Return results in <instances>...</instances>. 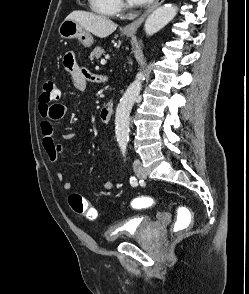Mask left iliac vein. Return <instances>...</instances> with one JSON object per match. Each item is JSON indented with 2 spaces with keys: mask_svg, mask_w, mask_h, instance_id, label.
<instances>
[{
  "mask_svg": "<svg viewBox=\"0 0 249 294\" xmlns=\"http://www.w3.org/2000/svg\"><path fill=\"white\" fill-rule=\"evenodd\" d=\"M133 169L136 173V175L139 177V178H142V179H145L147 177V174L142 166V163L140 162V160L138 159H135L134 162H133Z\"/></svg>",
  "mask_w": 249,
  "mask_h": 294,
  "instance_id": "1",
  "label": "left iliac vein"
}]
</instances>
